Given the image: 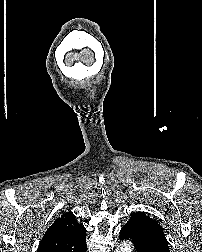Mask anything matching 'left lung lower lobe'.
Listing matches in <instances>:
<instances>
[{"mask_svg": "<svg viewBox=\"0 0 202 252\" xmlns=\"http://www.w3.org/2000/svg\"><path fill=\"white\" fill-rule=\"evenodd\" d=\"M152 234L139 225L127 222L120 231V240H130L135 252H169Z\"/></svg>", "mask_w": 202, "mask_h": 252, "instance_id": "left-lung-lower-lobe-1", "label": "left lung lower lobe"}]
</instances>
